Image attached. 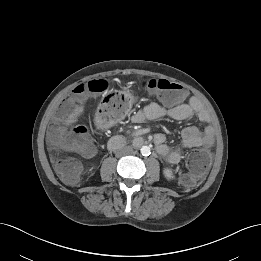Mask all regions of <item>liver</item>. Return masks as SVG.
I'll list each match as a JSON object with an SVG mask.
<instances>
[{"mask_svg":"<svg viewBox=\"0 0 261 261\" xmlns=\"http://www.w3.org/2000/svg\"><path fill=\"white\" fill-rule=\"evenodd\" d=\"M84 108L83 106H79L75 109L74 113H72L69 117V119L66 121V125H71L76 121V118L82 114Z\"/></svg>","mask_w":261,"mask_h":261,"instance_id":"obj_1","label":"liver"}]
</instances>
